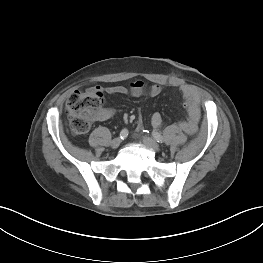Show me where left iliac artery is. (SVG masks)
I'll use <instances>...</instances> for the list:
<instances>
[{
    "label": "left iliac artery",
    "mask_w": 263,
    "mask_h": 263,
    "mask_svg": "<svg viewBox=\"0 0 263 263\" xmlns=\"http://www.w3.org/2000/svg\"><path fill=\"white\" fill-rule=\"evenodd\" d=\"M152 136H153V138H154L157 142H159V143H162V142H163V137H162L161 134L158 133L157 131H153V132H152Z\"/></svg>",
    "instance_id": "left-iliac-artery-1"
}]
</instances>
